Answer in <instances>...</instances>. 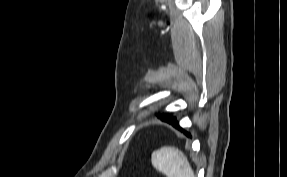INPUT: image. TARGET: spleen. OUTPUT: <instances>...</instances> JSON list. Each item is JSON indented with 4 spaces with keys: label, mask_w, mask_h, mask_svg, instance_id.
I'll use <instances>...</instances> for the list:
<instances>
[{
    "label": "spleen",
    "mask_w": 287,
    "mask_h": 177,
    "mask_svg": "<svg viewBox=\"0 0 287 177\" xmlns=\"http://www.w3.org/2000/svg\"><path fill=\"white\" fill-rule=\"evenodd\" d=\"M151 161L167 177H195L187 157L175 147L164 146L154 151Z\"/></svg>",
    "instance_id": "spleen-1"
}]
</instances>
